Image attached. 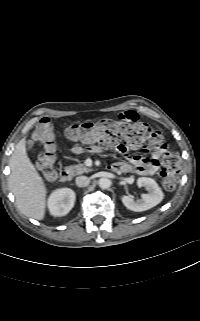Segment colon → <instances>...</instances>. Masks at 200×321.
<instances>
[{"instance_id": "1", "label": "colon", "mask_w": 200, "mask_h": 321, "mask_svg": "<svg viewBox=\"0 0 200 321\" xmlns=\"http://www.w3.org/2000/svg\"><path fill=\"white\" fill-rule=\"evenodd\" d=\"M65 134L74 141L91 146L115 148L121 152H125L129 148L164 149L166 146L162 135L149 124L139 120L138 117L119 116L116 119H103L94 123L73 125L66 129ZM30 144L32 146L38 144L43 147L39 168L46 178H53L56 158L53 123L50 119L44 118L38 123ZM180 172L178 157L171 153L165 154L161 181L166 190L172 191L176 188Z\"/></svg>"}]
</instances>
